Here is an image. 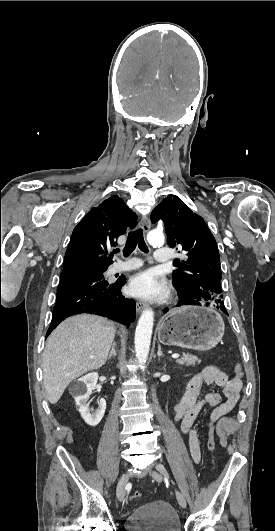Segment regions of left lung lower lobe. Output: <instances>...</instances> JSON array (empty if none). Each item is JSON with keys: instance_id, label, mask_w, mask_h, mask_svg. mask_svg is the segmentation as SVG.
<instances>
[{"instance_id": "1", "label": "left lung lower lobe", "mask_w": 275, "mask_h": 531, "mask_svg": "<svg viewBox=\"0 0 275 531\" xmlns=\"http://www.w3.org/2000/svg\"><path fill=\"white\" fill-rule=\"evenodd\" d=\"M178 306H180V305H178ZM168 310H169L168 308H165L163 312L165 313V312H167ZM224 313L228 314L227 311H225Z\"/></svg>"}]
</instances>
